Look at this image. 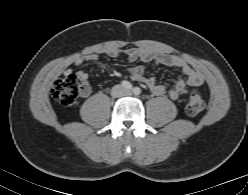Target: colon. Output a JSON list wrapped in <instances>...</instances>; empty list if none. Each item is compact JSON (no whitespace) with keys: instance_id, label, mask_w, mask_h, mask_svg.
<instances>
[{"instance_id":"5ec220e1","label":"colon","mask_w":248,"mask_h":195,"mask_svg":"<svg viewBox=\"0 0 248 195\" xmlns=\"http://www.w3.org/2000/svg\"><path fill=\"white\" fill-rule=\"evenodd\" d=\"M86 85L81 83L78 78L69 74L58 78L52 85V96L63 106L72 105L78 96L84 91ZM205 106L203 97L196 90L190 92L186 105V112L190 116L199 114Z\"/></svg>"}]
</instances>
